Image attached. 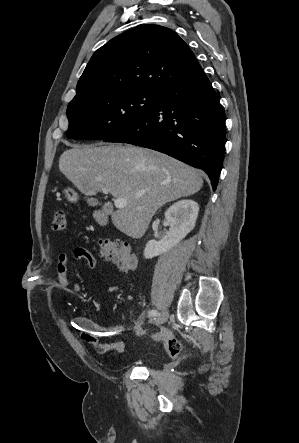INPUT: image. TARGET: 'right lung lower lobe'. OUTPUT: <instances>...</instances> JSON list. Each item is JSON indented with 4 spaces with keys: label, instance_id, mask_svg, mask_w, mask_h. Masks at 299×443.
<instances>
[{
    "label": "right lung lower lobe",
    "instance_id": "98d812e1",
    "mask_svg": "<svg viewBox=\"0 0 299 443\" xmlns=\"http://www.w3.org/2000/svg\"><path fill=\"white\" fill-rule=\"evenodd\" d=\"M103 141L150 148L201 168L215 190L223 161L225 119L202 70L161 89L149 112Z\"/></svg>",
    "mask_w": 299,
    "mask_h": 443
}]
</instances>
